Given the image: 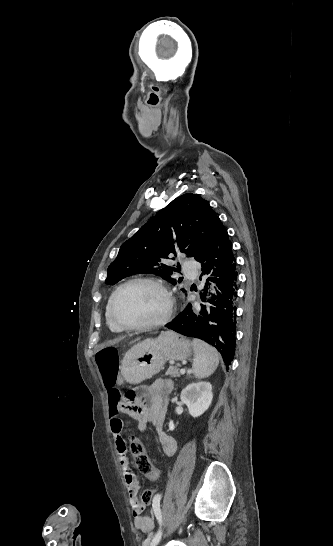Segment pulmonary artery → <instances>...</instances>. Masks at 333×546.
<instances>
[{"label":"pulmonary artery","mask_w":333,"mask_h":546,"mask_svg":"<svg viewBox=\"0 0 333 546\" xmlns=\"http://www.w3.org/2000/svg\"><path fill=\"white\" fill-rule=\"evenodd\" d=\"M184 268L187 272H189L192 268V262L191 261H185L184 262Z\"/></svg>","instance_id":"pulmonary-artery-1"}]
</instances>
